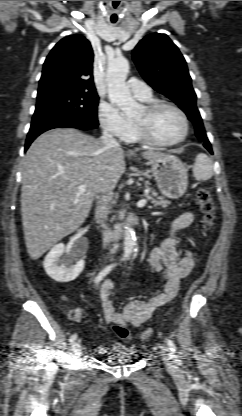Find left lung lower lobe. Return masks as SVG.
Masks as SVG:
<instances>
[{"instance_id": "0a47b994", "label": "left lung lower lobe", "mask_w": 242, "mask_h": 416, "mask_svg": "<svg viewBox=\"0 0 242 416\" xmlns=\"http://www.w3.org/2000/svg\"><path fill=\"white\" fill-rule=\"evenodd\" d=\"M204 147L211 153L213 154L212 148H211V144L209 143V141L204 142Z\"/></svg>"}]
</instances>
